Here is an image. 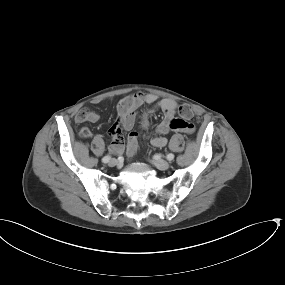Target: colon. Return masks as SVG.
Listing matches in <instances>:
<instances>
[{
    "instance_id": "5ec220e1",
    "label": "colon",
    "mask_w": 285,
    "mask_h": 285,
    "mask_svg": "<svg viewBox=\"0 0 285 285\" xmlns=\"http://www.w3.org/2000/svg\"><path fill=\"white\" fill-rule=\"evenodd\" d=\"M180 116L184 119V120H190L193 117V108L188 105V104H183L179 107L178 109ZM193 130V125L188 123V126L186 128V131L191 132Z\"/></svg>"
}]
</instances>
